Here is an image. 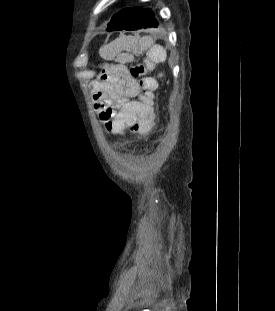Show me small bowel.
<instances>
[{
  "label": "small bowel",
  "mask_w": 275,
  "mask_h": 311,
  "mask_svg": "<svg viewBox=\"0 0 275 311\" xmlns=\"http://www.w3.org/2000/svg\"><path fill=\"white\" fill-rule=\"evenodd\" d=\"M104 59H112L104 78L91 85L94 108L102 121L109 118H128V129L133 133H152L154 101L139 94V83L131 75L128 64L135 57H151V62H170L168 50L145 36L133 39L122 36L100 50ZM157 85V81L153 79ZM122 134L126 130H116Z\"/></svg>",
  "instance_id": "c3829d8e"
}]
</instances>
